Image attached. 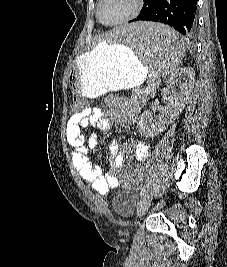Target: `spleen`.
<instances>
[{
	"instance_id": "1",
	"label": "spleen",
	"mask_w": 227,
	"mask_h": 267,
	"mask_svg": "<svg viewBox=\"0 0 227 267\" xmlns=\"http://www.w3.org/2000/svg\"><path fill=\"white\" fill-rule=\"evenodd\" d=\"M118 33L103 36V41L123 43V47H133L137 59L151 63L147 81H160L161 77H174L185 53V44L176 31L164 22L153 19H136V22H121L115 25ZM109 47V42H102Z\"/></svg>"
}]
</instances>
